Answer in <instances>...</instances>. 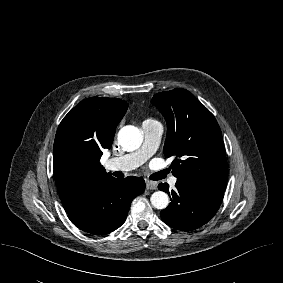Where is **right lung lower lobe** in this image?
I'll return each mask as SVG.
<instances>
[{
    "label": "right lung lower lobe",
    "instance_id": "obj_1",
    "mask_svg": "<svg viewBox=\"0 0 283 283\" xmlns=\"http://www.w3.org/2000/svg\"><path fill=\"white\" fill-rule=\"evenodd\" d=\"M145 190V181L129 176L97 181L67 214L79 229L95 235L110 233L126 220L132 200Z\"/></svg>",
    "mask_w": 283,
    "mask_h": 283
}]
</instances>
